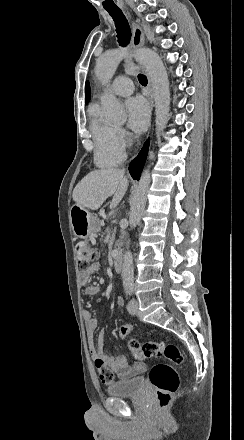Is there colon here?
I'll return each mask as SVG.
<instances>
[{"instance_id": "obj_1", "label": "colon", "mask_w": 244, "mask_h": 440, "mask_svg": "<svg viewBox=\"0 0 244 440\" xmlns=\"http://www.w3.org/2000/svg\"><path fill=\"white\" fill-rule=\"evenodd\" d=\"M75 252L76 264L80 269H84L88 263L94 262L98 258V250L94 247H88V244L83 240L76 242ZM132 327L131 324H126L122 328V334L128 335ZM127 346L136 362H141L153 356L164 357L169 362L178 364L184 360L182 351L177 345L167 344L164 341L141 345L135 340H128ZM95 366L104 382H114V374L108 369L104 360L96 359ZM150 379L156 389L158 410H167L172 395L179 385L178 376L168 364H157L151 367Z\"/></svg>"}]
</instances>
